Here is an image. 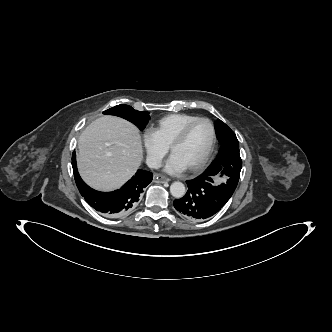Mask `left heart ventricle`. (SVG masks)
I'll use <instances>...</instances> for the list:
<instances>
[{"mask_svg":"<svg viewBox=\"0 0 332 332\" xmlns=\"http://www.w3.org/2000/svg\"><path fill=\"white\" fill-rule=\"evenodd\" d=\"M211 138L210 125L204 121L198 122L191 127L184 141L174 148L172 154L189 168L207 151Z\"/></svg>","mask_w":332,"mask_h":332,"instance_id":"left-heart-ventricle-1","label":"left heart ventricle"}]
</instances>
